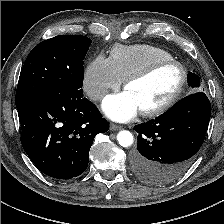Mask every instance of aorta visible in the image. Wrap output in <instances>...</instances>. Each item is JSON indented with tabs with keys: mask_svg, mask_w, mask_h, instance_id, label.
<instances>
[{
	"mask_svg": "<svg viewBox=\"0 0 224 224\" xmlns=\"http://www.w3.org/2000/svg\"><path fill=\"white\" fill-rule=\"evenodd\" d=\"M117 141L122 147H129L133 144L134 138L130 131L122 130L117 134Z\"/></svg>",
	"mask_w": 224,
	"mask_h": 224,
	"instance_id": "1",
	"label": "aorta"
}]
</instances>
